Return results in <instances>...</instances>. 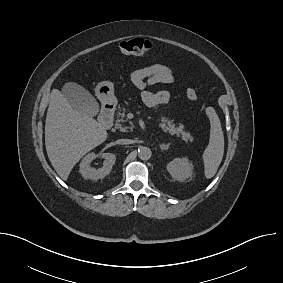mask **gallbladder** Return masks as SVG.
Wrapping results in <instances>:
<instances>
[{"mask_svg": "<svg viewBox=\"0 0 283 283\" xmlns=\"http://www.w3.org/2000/svg\"><path fill=\"white\" fill-rule=\"evenodd\" d=\"M62 93L75 110L90 116H96L98 114V103L81 85L74 82L65 83Z\"/></svg>", "mask_w": 283, "mask_h": 283, "instance_id": "bac80fb5", "label": "gallbladder"}]
</instances>
